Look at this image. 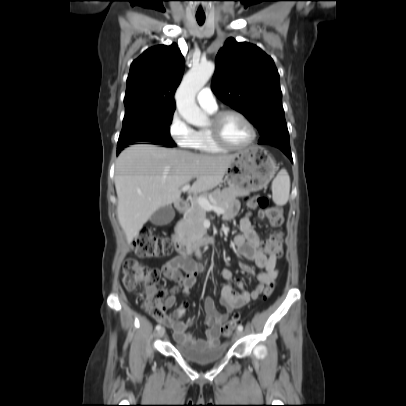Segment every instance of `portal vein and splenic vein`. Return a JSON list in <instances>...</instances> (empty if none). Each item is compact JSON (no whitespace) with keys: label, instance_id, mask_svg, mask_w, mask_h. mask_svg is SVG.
I'll return each instance as SVG.
<instances>
[{"label":"portal vein and splenic vein","instance_id":"18ae733b","mask_svg":"<svg viewBox=\"0 0 406 406\" xmlns=\"http://www.w3.org/2000/svg\"><path fill=\"white\" fill-rule=\"evenodd\" d=\"M189 189H190V185H189V184H186V185H184V186L182 187V191H188ZM197 202H198V204H199L202 208H204L205 210H208V211L213 210V211H215V212L218 213V214H223V213H224V210H223L222 208H220V207L217 206L216 204H211V203L208 201L207 198L199 197V198L197 199Z\"/></svg>","mask_w":406,"mask_h":406}]
</instances>
